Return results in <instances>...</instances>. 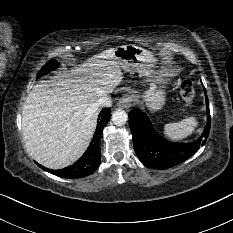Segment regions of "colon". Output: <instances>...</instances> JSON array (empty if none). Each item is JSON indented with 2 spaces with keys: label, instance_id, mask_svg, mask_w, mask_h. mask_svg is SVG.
<instances>
[{
  "label": "colon",
  "instance_id": "obj_1",
  "mask_svg": "<svg viewBox=\"0 0 233 233\" xmlns=\"http://www.w3.org/2000/svg\"><path fill=\"white\" fill-rule=\"evenodd\" d=\"M180 96L184 105L189 106L194 102L195 90L190 80H184L180 84Z\"/></svg>",
  "mask_w": 233,
  "mask_h": 233
}]
</instances>
